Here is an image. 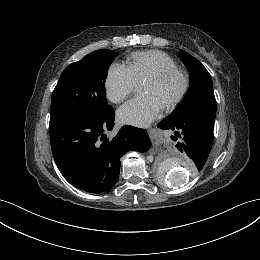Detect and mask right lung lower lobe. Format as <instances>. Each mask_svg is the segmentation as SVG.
<instances>
[{"label": "right lung lower lobe", "instance_id": "98d812e1", "mask_svg": "<svg viewBox=\"0 0 260 260\" xmlns=\"http://www.w3.org/2000/svg\"><path fill=\"white\" fill-rule=\"evenodd\" d=\"M115 111L98 120L69 119L50 123L51 149L58 169L76 188L109 191L117 182L120 158L130 150L145 152L151 142L144 129L125 125L113 138Z\"/></svg>", "mask_w": 260, "mask_h": 260}]
</instances>
